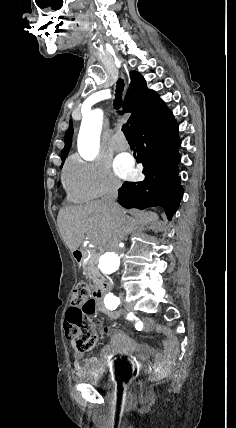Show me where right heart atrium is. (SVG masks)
<instances>
[{"instance_id": "obj_1", "label": "right heart atrium", "mask_w": 236, "mask_h": 428, "mask_svg": "<svg viewBox=\"0 0 236 428\" xmlns=\"http://www.w3.org/2000/svg\"><path fill=\"white\" fill-rule=\"evenodd\" d=\"M63 186L68 198L77 204L82 200L117 198L121 181L112 173L108 163L101 159L86 160L75 157L67 164Z\"/></svg>"}]
</instances>
